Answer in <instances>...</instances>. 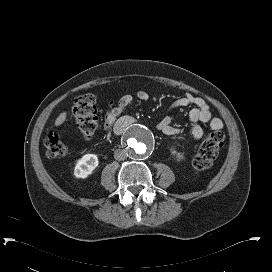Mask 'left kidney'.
Masks as SVG:
<instances>
[{
	"mask_svg": "<svg viewBox=\"0 0 272 272\" xmlns=\"http://www.w3.org/2000/svg\"><path fill=\"white\" fill-rule=\"evenodd\" d=\"M173 155H175L177 158H182L183 157V154L180 153V152H177L176 150H172L171 152Z\"/></svg>",
	"mask_w": 272,
	"mask_h": 272,
	"instance_id": "obj_1",
	"label": "left kidney"
}]
</instances>
